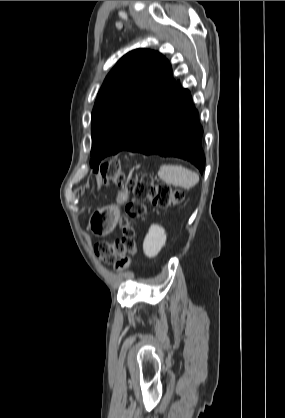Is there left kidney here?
Here are the masks:
<instances>
[{
    "mask_svg": "<svg viewBox=\"0 0 285 418\" xmlns=\"http://www.w3.org/2000/svg\"><path fill=\"white\" fill-rule=\"evenodd\" d=\"M166 243V233L163 227L153 224L150 226L143 242L144 254L149 257H155Z\"/></svg>",
    "mask_w": 285,
    "mask_h": 418,
    "instance_id": "left-kidney-1",
    "label": "left kidney"
}]
</instances>
